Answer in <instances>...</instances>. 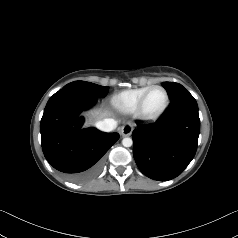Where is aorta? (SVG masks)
<instances>
[{
    "instance_id": "762f6f07",
    "label": "aorta",
    "mask_w": 238,
    "mask_h": 238,
    "mask_svg": "<svg viewBox=\"0 0 238 238\" xmlns=\"http://www.w3.org/2000/svg\"><path fill=\"white\" fill-rule=\"evenodd\" d=\"M122 144L124 147H131L133 144V140L129 137H126L122 140Z\"/></svg>"
}]
</instances>
